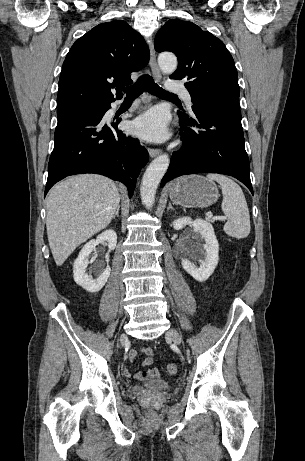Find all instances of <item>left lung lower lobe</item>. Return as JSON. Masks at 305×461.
Returning a JSON list of instances; mask_svg holds the SVG:
<instances>
[{"mask_svg":"<svg viewBox=\"0 0 305 461\" xmlns=\"http://www.w3.org/2000/svg\"><path fill=\"white\" fill-rule=\"evenodd\" d=\"M238 97L223 95L204 103L191 97L194 118L178 112L183 145L173 153L162 187L180 175L214 172L237 178L253 194Z\"/></svg>","mask_w":305,"mask_h":461,"instance_id":"left-lung-lower-lobe-1","label":"left lung lower lobe"}]
</instances>
